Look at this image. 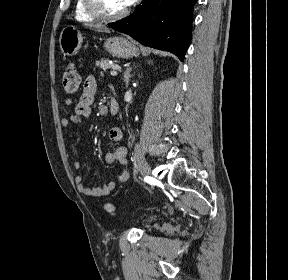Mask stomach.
Masks as SVG:
<instances>
[{
	"mask_svg": "<svg viewBox=\"0 0 288 280\" xmlns=\"http://www.w3.org/2000/svg\"><path fill=\"white\" fill-rule=\"evenodd\" d=\"M82 42L83 36L75 26L69 25L65 27L60 34V49L65 55H76L81 48ZM104 47L111 55L125 59L137 56L139 53L134 43L121 36L106 39Z\"/></svg>",
	"mask_w": 288,
	"mask_h": 280,
	"instance_id": "stomach-1",
	"label": "stomach"
}]
</instances>
